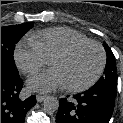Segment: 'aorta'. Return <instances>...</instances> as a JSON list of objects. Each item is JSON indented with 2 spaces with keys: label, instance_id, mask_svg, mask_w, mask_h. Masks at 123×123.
Instances as JSON below:
<instances>
[{
  "label": "aorta",
  "instance_id": "1",
  "mask_svg": "<svg viewBox=\"0 0 123 123\" xmlns=\"http://www.w3.org/2000/svg\"><path fill=\"white\" fill-rule=\"evenodd\" d=\"M44 110L48 113H53L58 110L59 108V101L56 97L54 96H47L44 99Z\"/></svg>",
  "mask_w": 123,
  "mask_h": 123
}]
</instances>
